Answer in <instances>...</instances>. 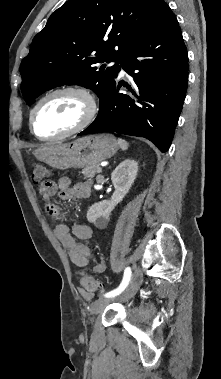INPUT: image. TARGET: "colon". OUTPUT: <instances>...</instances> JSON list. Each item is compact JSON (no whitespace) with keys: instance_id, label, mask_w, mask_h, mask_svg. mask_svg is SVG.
<instances>
[{"instance_id":"5ec220e1","label":"colon","mask_w":221,"mask_h":379,"mask_svg":"<svg viewBox=\"0 0 221 379\" xmlns=\"http://www.w3.org/2000/svg\"><path fill=\"white\" fill-rule=\"evenodd\" d=\"M50 176V170L45 164L39 162L33 164L31 179L34 184L38 185L41 195L47 194L52 187ZM80 275L81 284L86 291L96 292L102 289L101 283L91 275L86 272H82Z\"/></svg>"}]
</instances>
